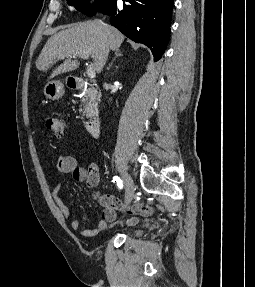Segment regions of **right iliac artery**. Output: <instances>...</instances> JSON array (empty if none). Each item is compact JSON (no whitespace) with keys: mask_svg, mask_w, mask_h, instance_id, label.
Returning <instances> with one entry per match:
<instances>
[{"mask_svg":"<svg viewBox=\"0 0 255 287\" xmlns=\"http://www.w3.org/2000/svg\"><path fill=\"white\" fill-rule=\"evenodd\" d=\"M113 181H115L117 183V186L122 189L123 188V182L122 180L118 177V176H114L113 177Z\"/></svg>","mask_w":255,"mask_h":287,"instance_id":"1","label":"right iliac artery"}]
</instances>
